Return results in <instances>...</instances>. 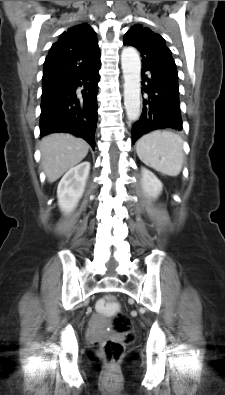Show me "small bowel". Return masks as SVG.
<instances>
[{
    "label": "small bowel",
    "instance_id": "obj_1",
    "mask_svg": "<svg viewBox=\"0 0 225 395\" xmlns=\"http://www.w3.org/2000/svg\"><path fill=\"white\" fill-rule=\"evenodd\" d=\"M122 300H115L113 304H106L104 299L97 302V309L101 312H107L108 315H120L122 310Z\"/></svg>",
    "mask_w": 225,
    "mask_h": 395
}]
</instances>
